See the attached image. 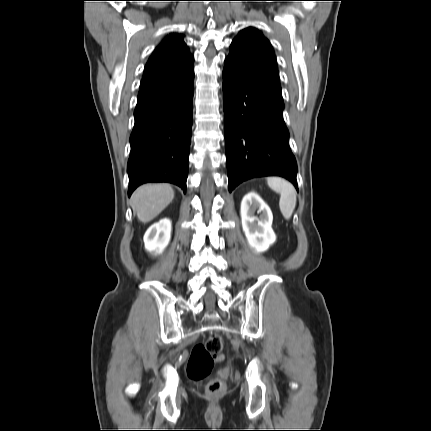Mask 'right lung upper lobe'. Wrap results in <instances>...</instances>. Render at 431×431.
Listing matches in <instances>:
<instances>
[{
    "instance_id": "obj_1",
    "label": "right lung upper lobe",
    "mask_w": 431,
    "mask_h": 431,
    "mask_svg": "<svg viewBox=\"0 0 431 431\" xmlns=\"http://www.w3.org/2000/svg\"><path fill=\"white\" fill-rule=\"evenodd\" d=\"M194 77L193 56L181 35H169L148 60L137 105L161 98Z\"/></svg>"
}]
</instances>
